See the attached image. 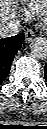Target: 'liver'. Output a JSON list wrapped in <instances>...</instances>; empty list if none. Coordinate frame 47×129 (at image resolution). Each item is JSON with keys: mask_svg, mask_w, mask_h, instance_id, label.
Instances as JSON below:
<instances>
[{"mask_svg": "<svg viewBox=\"0 0 47 129\" xmlns=\"http://www.w3.org/2000/svg\"><path fill=\"white\" fill-rule=\"evenodd\" d=\"M18 2V0H0V26L16 17Z\"/></svg>", "mask_w": 47, "mask_h": 129, "instance_id": "1", "label": "liver"}]
</instances>
